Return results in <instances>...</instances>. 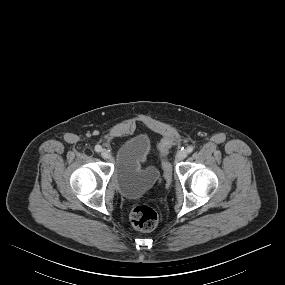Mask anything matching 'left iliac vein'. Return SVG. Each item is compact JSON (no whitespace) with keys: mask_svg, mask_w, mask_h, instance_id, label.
Masks as SVG:
<instances>
[{"mask_svg":"<svg viewBox=\"0 0 285 285\" xmlns=\"http://www.w3.org/2000/svg\"><path fill=\"white\" fill-rule=\"evenodd\" d=\"M187 151L186 150H181L177 153V159L179 161L184 160L187 157Z\"/></svg>","mask_w":285,"mask_h":285,"instance_id":"4c4485c4","label":"left iliac vein"}]
</instances>
